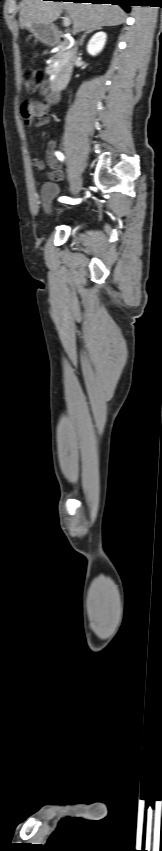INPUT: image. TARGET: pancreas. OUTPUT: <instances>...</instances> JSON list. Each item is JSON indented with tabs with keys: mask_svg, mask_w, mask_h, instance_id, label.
Instances as JSON below:
<instances>
[{
	"mask_svg": "<svg viewBox=\"0 0 162 851\" xmlns=\"http://www.w3.org/2000/svg\"><path fill=\"white\" fill-rule=\"evenodd\" d=\"M64 49L65 46L63 44L57 46V52L52 60V63L47 68L49 74L57 75L60 70L68 63L72 52L65 51Z\"/></svg>",
	"mask_w": 162,
	"mask_h": 851,
	"instance_id": "1",
	"label": "pancreas"
}]
</instances>
